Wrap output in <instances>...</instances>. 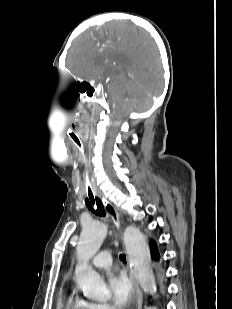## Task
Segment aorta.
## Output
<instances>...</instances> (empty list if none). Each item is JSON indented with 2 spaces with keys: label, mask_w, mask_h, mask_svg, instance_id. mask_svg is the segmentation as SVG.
I'll use <instances>...</instances> for the list:
<instances>
[{
  "label": "aorta",
  "mask_w": 232,
  "mask_h": 309,
  "mask_svg": "<svg viewBox=\"0 0 232 309\" xmlns=\"http://www.w3.org/2000/svg\"><path fill=\"white\" fill-rule=\"evenodd\" d=\"M105 237V224L91 220L84 224L77 245L79 264L75 270V281L87 298L96 301H106L109 298V290L100 275L87 263L98 252ZM124 243L135 279L145 292L155 294L156 283L145 236L138 228L129 226L124 232Z\"/></svg>",
  "instance_id": "aorta-1"
}]
</instances>
